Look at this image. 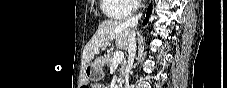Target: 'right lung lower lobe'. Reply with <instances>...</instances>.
I'll return each instance as SVG.
<instances>
[{"label":"right lung lower lobe","mask_w":227,"mask_h":88,"mask_svg":"<svg viewBox=\"0 0 227 88\" xmlns=\"http://www.w3.org/2000/svg\"><path fill=\"white\" fill-rule=\"evenodd\" d=\"M152 12V3L149 5L148 9H147V13H146V18L143 21V25H145L147 23V21L149 20V16Z\"/></svg>","instance_id":"right-lung-lower-lobe-1"}]
</instances>
